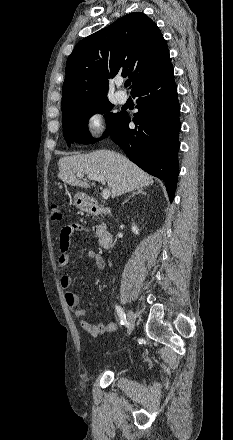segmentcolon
Here are the masks:
<instances>
[{"label":"colon","instance_id":"obj_1","mask_svg":"<svg viewBox=\"0 0 233 440\" xmlns=\"http://www.w3.org/2000/svg\"><path fill=\"white\" fill-rule=\"evenodd\" d=\"M50 217L53 221L57 222L63 219L61 206L58 203H53L50 205Z\"/></svg>","mask_w":233,"mask_h":440}]
</instances>
